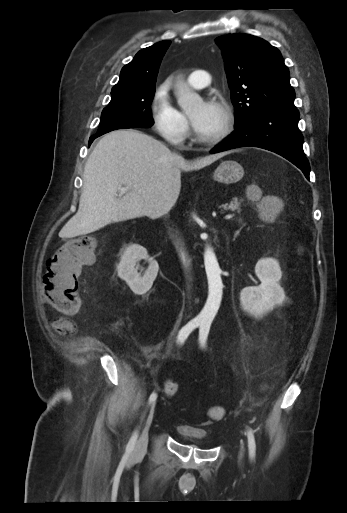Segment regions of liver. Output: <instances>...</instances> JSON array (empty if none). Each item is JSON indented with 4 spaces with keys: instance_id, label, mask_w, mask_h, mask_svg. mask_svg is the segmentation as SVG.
<instances>
[{
    "instance_id": "obj_1",
    "label": "liver",
    "mask_w": 347,
    "mask_h": 513,
    "mask_svg": "<svg viewBox=\"0 0 347 513\" xmlns=\"http://www.w3.org/2000/svg\"><path fill=\"white\" fill-rule=\"evenodd\" d=\"M229 154L221 152L187 162L163 143L138 130L105 134L90 154L83 174V190L77 213L59 236L73 238L104 226L147 216L163 215L165 199L176 202L181 170L203 168ZM128 187L121 196L118 188Z\"/></svg>"
}]
</instances>
